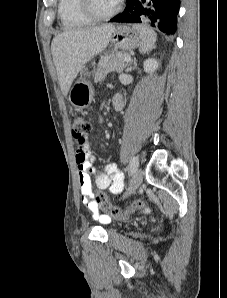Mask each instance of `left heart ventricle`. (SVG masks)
I'll return each instance as SVG.
<instances>
[{
    "instance_id": "left-heart-ventricle-1",
    "label": "left heart ventricle",
    "mask_w": 227,
    "mask_h": 298,
    "mask_svg": "<svg viewBox=\"0 0 227 298\" xmlns=\"http://www.w3.org/2000/svg\"><path fill=\"white\" fill-rule=\"evenodd\" d=\"M93 9L98 14H107L111 10L114 9V7L117 4V0H91Z\"/></svg>"
}]
</instances>
